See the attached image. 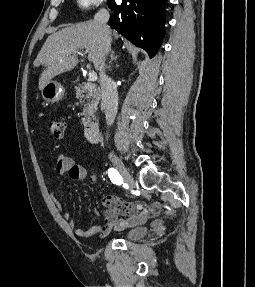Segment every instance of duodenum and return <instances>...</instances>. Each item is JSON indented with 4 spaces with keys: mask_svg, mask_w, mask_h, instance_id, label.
<instances>
[{
    "mask_svg": "<svg viewBox=\"0 0 255 287\" xmlns=\"http://www.w3.org/2000/svg\"><path fill=\"white\" fill-rule=\"evenodd\" d=\"M86 139L90 143H95L99 137V122L97 120L91 121L85 128Z\"/></svg>",
    "mask_w": 255,
    "mask_h": 287,
    "instance_id": "1",
    "label": "duodenum"
}]
</instances>
